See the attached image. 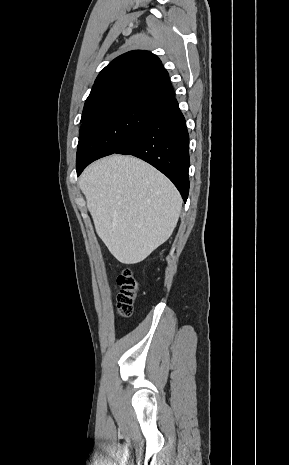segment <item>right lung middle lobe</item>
I'll use <instances>...</instances> for the list:
<instances>
[{
  "label": "right lung middle lobe",
  "instance_id": "right-lung-middle-lobe-1",
  "mask_svg": "<svg viewBox=\"0 0 289 465\" xmlns=\"http://www.w3.org/2000/svg\"><path fill=\"white\" fill-rule=\"evenodd\" d=\"M161 110V104L126 101L91 114L81 121L76 163L116 153Z\"/></svg>",
  "mask_w": 289,
  "mask_h": 465
}]
</instances>
